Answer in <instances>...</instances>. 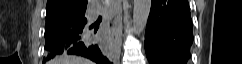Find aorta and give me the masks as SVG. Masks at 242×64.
<instances>
[{
	"mask_svg": "<svg viewBox=\"0 0 242 64\" xmlns=\"http://www.w3.org/2000/svg\"><path fill=\"white\" fill-rule=\"evenodd\" d=\"M151 9V0H134L133 30L140 35L147 24Z\"/></svg>",
	"mask_w": 242,
	"mask_h": 64,
	"instance_id": "1",
	"label": "aorta"
}]
</instances>
